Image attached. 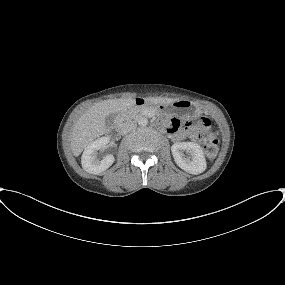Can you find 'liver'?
Instances as JSON below:
<instances>
[{"instance_id":"liver-1","label":"liver","mask_w":285,"mask_h":285,"mask_svg":"<svg viewBox=\"0 0 285 285\" xmlns=\"http://www.w3.org/2000/svg\"><path fill=\"white\" fill-rule=\"evenodd\" d=\"M176 100L154 97L148 99L153 104H170ZM134 102L132 98L109 99L95 103L84 112L72 129L70 145L73 155L79 156L94 139L105 133L107 115L124 111L133 106Z\"/></svg>"}]
</instances>
